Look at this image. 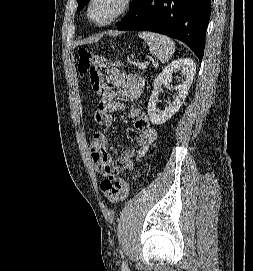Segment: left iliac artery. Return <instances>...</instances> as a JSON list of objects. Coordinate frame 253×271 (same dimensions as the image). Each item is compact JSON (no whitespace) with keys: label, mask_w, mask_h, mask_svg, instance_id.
<instances>
[{"label":"left iliac artery","mask_w":253,"mask_h":271,"mask_svg":"<svg viewBox=\"0 0 253 271\" xmlns=\"http://www.w3.org/2000/svg\"><path fill=\"white\" fill-rule=\"evenodd\" d=\"M122 267H123V271H129L125 262H123Z\"/></svg>","instance_id":"44dca946"}]
</instances>
